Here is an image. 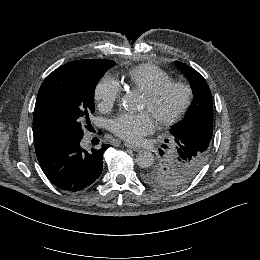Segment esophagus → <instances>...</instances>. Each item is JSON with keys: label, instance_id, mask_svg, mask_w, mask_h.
<instances>
[{"label": "esophagus", "instance_id": "obj_1", "mask_svg": "<svg viewBox=\"0 0 260 260\" xmlns=\"http://www.w3.org/2000/svg\"><path fill=\"white\" fill-rule=\"evenodd\" d=\"M124 145L128 148H131L132 150L136 151V152H140L141 148L138 147L137 145L130 143V142H125Z\"/></svg>", "mask_w": 260, "mask_h": 260}]
</instances>
